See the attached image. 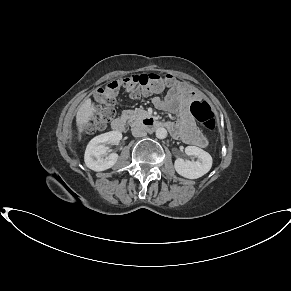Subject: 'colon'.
<instances>
[{"label": "colon", "mask_w": 291, "mask_h": 291, "mask_svg": "<svg viewBox=\"0 0 291 291\" xmlns=\"http://www.w3.org/2000/svg\"><path fill=\"white\" fill-rule=\"evenodd\" d=\"M174 82L171 75L158 73L131 74L105 84L97 93L98 105L93 115L92 130L105 128L115 114V105L121 89L134 98L141 95L158 94L169 88ZM195 119L208 131L215 130L216 121L211 107L203 101H194L190 107Z\"/></svg>", "instance_id": "1"}]
</instances>
